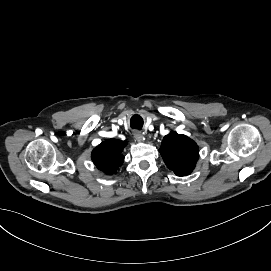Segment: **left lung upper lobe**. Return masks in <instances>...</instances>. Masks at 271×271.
I'll use <instances>...</instances> for the list:
<instances>
[{"label":"left lung upper lobe","instance_id":"obj_1","mask_svg":"<svg viewBox=\"0 0 271 271\" xmlns=\"http://www.w3.org/2000/svg\"><path fill=\"white\" fill-rule=\"evenodd\" d=\"M159 152L167 167L178 176L190 174L199 156L197 144L189 137L174 131L163 138Z\"/></svg>","mask_w":271,"mask_h":271}]
</instances>
